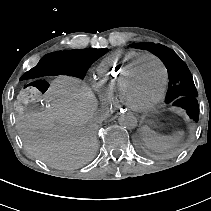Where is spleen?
Segmentation results:
<instances>
[{
    "label": "spleen",
    "mask_w": 211,
    "mask_h": 211,
    "mask_svg": "<svg viewBox=\"0 0 211 211\" xmlns=\"http://www.w3.org/2000/svg\"><path fill=\"white\" fill-rule=\"evenodd\" d=\"M180 134L183 135V132H180ZM178 139V137L155 135L151 131L146 133L145 137L143 138L146 146L155 151L165 150L167 146L174 143V141Z\"/></svg>",
    "instance_id": "1"
}]
</instances>
